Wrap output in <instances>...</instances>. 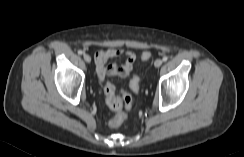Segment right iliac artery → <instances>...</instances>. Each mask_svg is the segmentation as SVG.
<instances>
[{
    "mask_svg": "<svg viewBox=\"0 0 244 157\" xmlns=\"http://www.w3.org/2000/svg\"><path fill=\"white\" fill-rule=\"evenodd\" d=\"M78 54L82 55V54H84V52L82 50H79Z\"/></svg>",
    "mask_w": 244,
    "mask_h": 157,
    "instance_id": "right-iliac-artery-1",
    "label": "right iliac artery"
}]
</instances>
